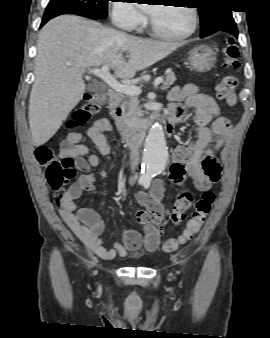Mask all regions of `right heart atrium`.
<instances>
[{
	"label": "right heart atrium",
	"instance_id": "right-heart-atrium-1",
	"mask_svg": "<svg viewBox=\"0 0 270 338\" xmlns=\"http://www.w3.org/2000/svg\"><path fill=\"white\" fill-rule=\"evenodd\" d=\"M111 18L116 26L125 30L137 29L146 22L145 14L128 1L115 3L111 8Z\"/></svg>",
	"mask_w": 270,
	"mask_h": 338
}]
</instances>
